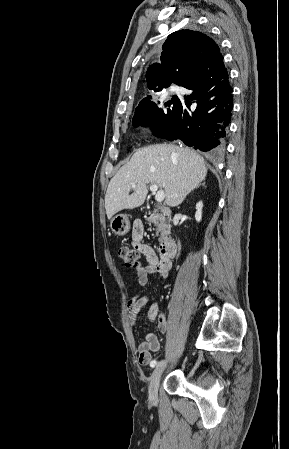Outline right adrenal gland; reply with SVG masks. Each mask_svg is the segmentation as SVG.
Listing matches in <instances>:
<instances>
[{
  "instance_id": "1",
  "label": "right adrenal gland",
  "mask_w": 289,
  "mask_h": 449,
  "mask_svg": "<svg viewBox=\"0 0 289 449\" xmlns=\"http://www.w3.org/2000/svg\"><path fill=\"white\" fill-rule=\"evenodd\" d=\"M201 185H202V186H204V185H205V183H202Z\"/></svg>"
}]
</instances>
